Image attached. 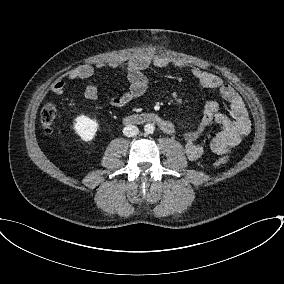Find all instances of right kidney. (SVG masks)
Wrapping results in <instances>:
<instances>
[{
	"instance_id": "right-kidney-1",
	"label": "right kidney",
	"mask_w": 284,
	"mask_h": 284,
	"mask_svg": "<svg viewBox=\"0 0 284 284\" xmlns=\"http://www.w3.org/2000/svg\"><path fill=\"white\" fill-rule=\"evenodd\" d=\"M75 121L76 123H74L73 127L75 133L85 142L92 141L99 128L98 122L85 115L77 116Z\"/></svg>"
}]
</instances>
